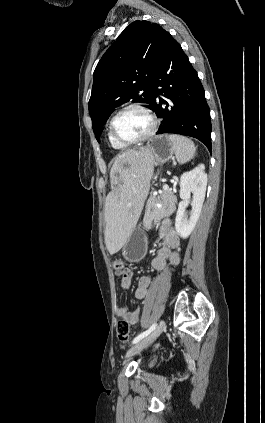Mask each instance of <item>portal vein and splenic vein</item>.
Here are the masks:
<instances>
[{"label":"portal vein and splenic vein","mask_w":265,"mask_h":423,"mask_svg":"<svg viewBox=\"0 0 265 423\" xmlns=\"http://www.w3.org/2000/svg\"><path fill=\"white\" fill-rule=\"evenodd\" d=\"M163 189H164V190H168V189H169V186H168L167 184H165V185L163 186Z\"/></svg>","instance_id":"portal-vein-and-splenic-vein-1"}]
</instances>
